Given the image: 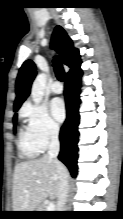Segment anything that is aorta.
<instances>
[{"label": "aorta", "instance_id": "aorta-1", "mask_svg": "<svg viewBox=\"0 0 123 219\" xmlns=\"http://www.w3.org/2000/svg\"><path fill=\"white\" fill-rule=\"evenodd\" d=\"M46 82L47 78L44 73L38 74L35 78L31 88V97L35 104H39L42 101Z\"/></svg>", "mask_w": 123, "mask_h": 219}]
</instances>
